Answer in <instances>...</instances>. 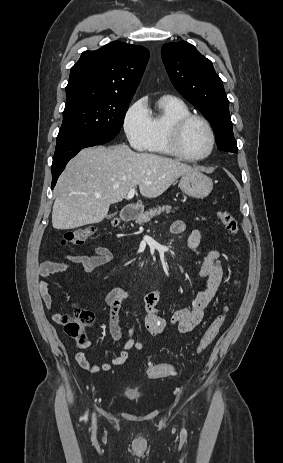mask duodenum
Returning <instances> with one entry per match:
<instances>
[{"label": "duodenum", "mask_w": 283, "mask_h": 463, "mask_svg": "<svg viewBox=\"0 0 283 463\" xmlns=\"http://www.w3.org/2000/svg\"><path fill=\"white\" fill-rule=\"evenodd\" d=\"M138 212L137 207L134 204H129L123 208L119 217L114 221L115 226H119L121 223L125 221L132 220L136 218Z\"/></svg>", "instance_id": "obj_1"}]
</instances>
